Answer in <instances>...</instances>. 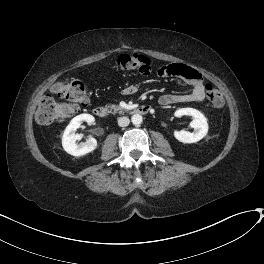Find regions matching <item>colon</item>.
<instances>
[{"label": "colon", "mask_w": 264, "mask_h": 264, "mask_svg": "<svg viewBox=\"0 0 264 264\" xmlns=\"http://www.w3.org/2000/svg\"><path fill=\"white\" fill-rule=\"evenodd\" d=\"M115 67L122 71H136L150 74L153 70L152 61L139 54H122L115 63ZM163 73V68L158 71ZM205 92L209 102L219 108L224 104L221 91L212 83L205 84ZM89 102V96L84 83L80 81L68 82L60 87L56 95L43 94L39 100L36 121L41 125L60 122L77 114Z\"/></svg>", "instance_id": "colon-1"}]
</instances>
